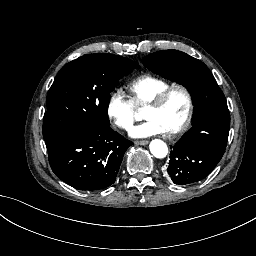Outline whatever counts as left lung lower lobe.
<instances>
[{"label":"left lung lower lobe","mask_w":256,"mask_h":256,"mask_svg":"<svg viewBox=\"0 0 256 256\" xmlns=\"http://www.w3.org/2000/svg\"><path fill=\"white\" fill-rule=\"evenodd\" d=\"M168 174L171 176V179L173 180V182L175 184H180V185H184V184H189V183H193V182H197L199 180L204 179L206 176H199V175H179V174H174L171 172H168Z\"/></svg>","instance_id":"1"}]
</instances>
